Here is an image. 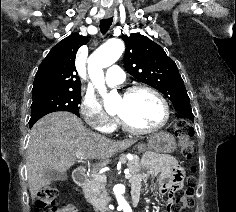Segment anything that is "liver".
<instances>
[{"instance_id":"obj_1","label":"liver","mask_w":236,"mask_h":212,"mask_svg":"<svg viewBox=\"0 0 236 212\" xmlns=\"http://www.w3.org/2000/svg\"><path fill=\"white\" fill-rule=\"evenodd\" d=\"M135 139L113 141L88 130L82 121L70 112L50 113L33 126L27 147V178L32 201L38 192L50 184L44 176L48 168L65 173L76 162V153L86 159H98L96 168L108 159L129 148Z\"/></svg>"}]
</instances>
